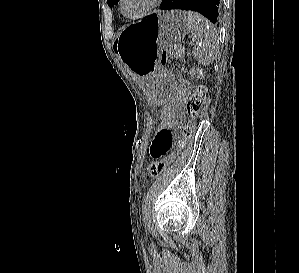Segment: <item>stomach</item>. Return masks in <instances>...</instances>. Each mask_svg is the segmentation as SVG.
Segmentation results:
<instances>
[{"label":"stomach","mask_w":299,"mask_h":273,"mask_svg":"<svg viewBox=\"0 0 299 273\" xmlns=\"http://www.w3.org/2000/svg\"><path fill=\"white\" fill-rule=\"evenodd\" d=\"M189 31L183 12H156L125 27L115 46L120 60L143 78L144 88L154 102L167 101L173 90V77L161 69L163 44L180 41Z\"/></svg>","instance_id":"1"}]
</instances>
